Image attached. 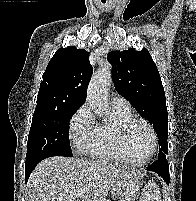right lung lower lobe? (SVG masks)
Returning a JSON list of instances; mask_svg holds the SVG:
<instances>
[{
    "label": "right lung lower lobe",
    "mask_w": 196,
    "mask_h": 201,
    "mask_svg": "<svg viewBox=\"0 0 196 201\" xmlns=\"http://www.w3.org/2000/svg\"><path fill=\"white\" fill-rule=\"evenodd\" d=\"M47 157H51V156H44L38 159H34L30 162H26L25 164V182H27L31 172L33 171V169L36 167V165L43 159L47 158Z\"/></svg>",
    "instance_id": "1"
}]
</instances>
